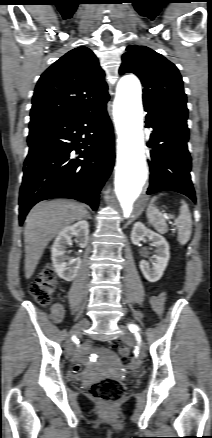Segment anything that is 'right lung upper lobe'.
<instances>
[{
	"label": "right lung upper lobe",
	"instance_id": "obj_1",
	"mask_svg": "<svg viewBox=\"0 0 212 438\" xmlns=\"http://www.w3.org/2000/svg\"><path fill=\"white\" fill-rule=\"evenodd\" d=\"M104 71L87 47L75 48L40 77L35 88L30 123L93 111L109 99Z\"/></svg>",
	"mask_w": 212,
	"mask_h": 438
}]
</instances>
